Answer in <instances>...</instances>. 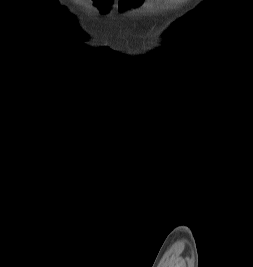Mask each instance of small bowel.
<instances>
[{
	"mask_svg": "<svg viewBox=\"0 0 253 267\" xmlns=\"http://www.w3.org/2000/svg\"><path fill=\"white\" fill-rule=\"evenodd\" d=\"M115 1L120 10H127L137 7L144 0H94V5L101 11H108Z\"/></svg>",
	"mask_w": 253,
	"mask_h": 267,
	"instance_id": "c3829d8e",
	"label": "small bowel"
}]
</instances>
